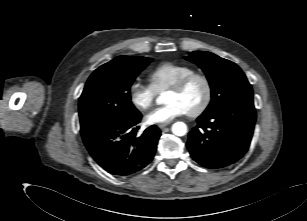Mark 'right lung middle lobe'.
I'll return each instance as SVG.
<instances>
[{
	"label": "right lung middle lobe",
	"instance_id": "obj_1",
	"mask_svg": "<svg viewBox=\"0 0 307 221\" xmlns=\"http://www.w3.org/2000/svg\"><path fill=\"white\" fill-rule=\"evenodd\" d=\"M151 61L139 56L113 59L92 73L79 98L82 136L104 124L123 122L140 113L131 102L130 87Z\"/></svg>",
	"mask_w": 307,
	"mask_h": 221
}]
</instances>
